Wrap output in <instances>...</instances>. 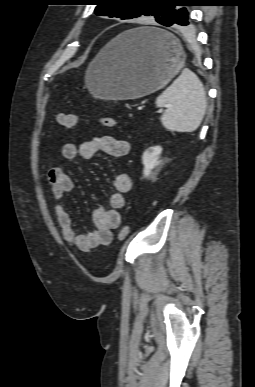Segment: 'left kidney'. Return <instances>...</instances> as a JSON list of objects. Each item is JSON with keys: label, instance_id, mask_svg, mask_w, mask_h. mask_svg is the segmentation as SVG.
<instances>
[{"label": "left kidney", "instance_id": "left-kidney-1", "mask_svg": "<svg viewBox=\"0 0 255 387\" xmlns=\"http://www.w3.org/2000/svg\"><path fill=\"white\" fill-rule=\"evenodd\" d=\"M150 149L151 151H145L142 156V163L144 165L143 174L146 177H148L152 173V170L159 165V158L162 152L160 146L151 147Z\"/></svg>", "mask_w": 255, "mask_h": 387}]
</instances>
